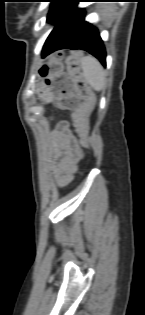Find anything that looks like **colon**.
I'll list each match as a JSON object with an SVG mask.
<instances>
[{"label": "colon", "mask_w": 145, "mask_h": 315, "mask_svg": "<svg viewBox=\"0 0 145 315\" xmlns=\"http://www.w3.org/2000/svg\"><path fill=\"white\" fill-rule=\"evenodd\" d=\"M62 54L56 53L44 62L39 72L55 95L60 109L72 110L73 121L84 146H88L89 123L94 97L85 81L80 68V55L73 54L67 60V72L61 63Z\"/></svg>", "instance_id": "5ec220e1"}]
</instances>
